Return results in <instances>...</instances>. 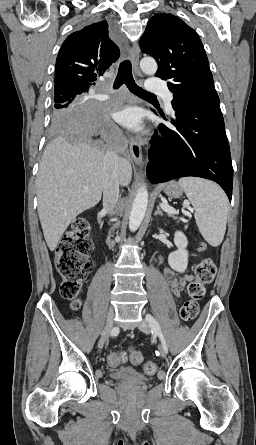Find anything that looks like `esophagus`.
Instances as JSON below:
<instances>
[{
	"instance_id": "obj_1",
	"label": "esophagus",
	"mask_w": 256,
	"mask_h": 445,
	"mask_svg": "<svg viewBox=\"0 0 256 445\" xmlns=\"http://www.w3.org/2000/svg\"><path fill=\"white\" fill-rule=\"evenodd\" d=\"M129 56L134 70L137 71L139 64V57H140V49L137 43H134L130 48ZM129 148L133 161L137 165H141L142 163L141 144L138 141L131 138L129 140Z\"/></svg>"
}]
</instances>
